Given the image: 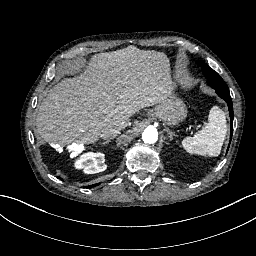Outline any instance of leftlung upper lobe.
<instances>
[{
	"label": "left lung upper lobe",
	"instance_id": "obj_1",
	"mask_svg": "<svg viewBox=\"0 0 256 256\" xmlns=\"http://www.w3.org/2000/svg\"><path fill=\"white\" fill-rule=\"evenodd\" d=\"M197 64L202 68L204 74L208 77V84L213 87L216 90V93L223 98L227 104L231 119V131H230V142L232 138L233 133V106H232V100L230 97L228 86L223 82L222 78L218 75L217 72H215L213 69H211L206 63L199 61ZM230 145V144H229ZM229 148V146H228Z\"/></svg>",
	"mask_w": 256,
	"mask_h": 256
}]
</instances>
